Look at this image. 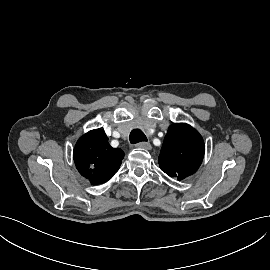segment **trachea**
<instances>
[{"mask_svg":"<svg viewBox=\"0 0 270 270\" xmlns=\"http://www.w3.org/2000/svg\"><path fill=\"white\" fill-rule=\"evenodd\" d=\"M147 137L140 129H134L130 133V143L136 144L139 142H146Z\"/></svg>","mask_w":270,"mask_h":270,"instance_id":"3493384b","label":"trachea"}]
</instances>
